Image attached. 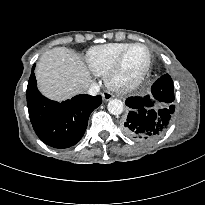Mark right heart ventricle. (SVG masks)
I'll return each instance as SVG.
<instances>
[{"label":"right heart ventricle","mask_w":205,"mask_h":205,"mask_svg":"<svg viewBox=\"0 0 205 205\" xmlns=\"http://www.w3.org/2000/svg\"><path fill=\"white\" fill-rule=\"evenodd\" d=\"M129 45L130 43H109L90 48L85 55L89 70L98 76L106 75Z\"/></svg>","instance_id":"1"}]
</instances>
